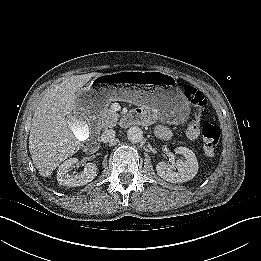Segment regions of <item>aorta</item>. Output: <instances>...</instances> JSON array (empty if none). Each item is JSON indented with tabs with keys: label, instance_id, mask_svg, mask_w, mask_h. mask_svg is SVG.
Wrapping results in <instances>:
<instances>
[{
	"label": "aorta",
	"instance_id": "aorta-1",
	"mask_svg": "<svg viewBox=\"0 0 261 261\" xmlns=\"http://www.w3.org/2000/svg\"><path fill=\"white\" fill-rule=\"evenodd\" d=\"M127 138L133 143L140 142L143 139V131L137 126L130 127L127 131Z\"/></svg>",
	"mask_w": 261,
	"mask_h": 261
}]
</instances>
